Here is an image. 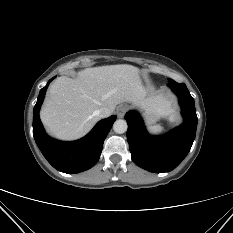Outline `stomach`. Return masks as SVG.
Masks as SVG:
<instances>
[{
    "label": "stomach",
    "mask_w": 233,
    "mask_h": 233,
    "mask_svg": "<svg viewBox=\"0 0 233 233\" xmlns=\"http://www.w3.org/2000/svg\"><path fill=\"white\" fill-rule=\"evenodd\" d=\"M143 116L148 124H155L160 119V113L150 104L144 105Z\"/></svg>",
    "instance_id": "1"
}]
</instances>
